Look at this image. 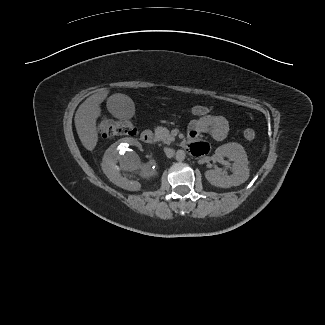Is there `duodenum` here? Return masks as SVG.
<instances>
[{
  "instance_id": "410a0bca",
  "label": "duodenum",
  "mask_w": 325,
  "mask_h": 325,
  "mask_svg": "<svg viewBox=\"0 0 325 325\" xmlns=\"http://www.w3.org/2000/svg\"><path fill=\"white\" fill-rule=\"evenodd\" d=\"M140 139L143 143L152 144L154 142V134L151 130H144L140 135ZM183 144L187 145L188 143L184 141Z\"/></svg>"
}]
</instances>
